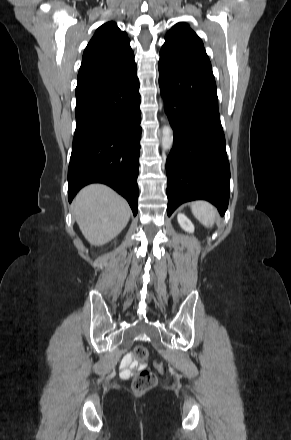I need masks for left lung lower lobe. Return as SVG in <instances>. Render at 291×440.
<instances>
[{"label":"left lung lower lobe","instance_id":"0a47b994","mask_svg":"<svg viewBox=\"0 0 291 440\" xmlns=\"http://www.w3.org/2000/svg\"><path fill=\"white\" fill-rule=\"evenodd\" d=\"M159 86L174 131L166 161L167 214L182 203L205 199L224 215L230 168L213 74L159 60Z\"/></svg>","mask_w":291,"mask_h":440}]
</instances>
